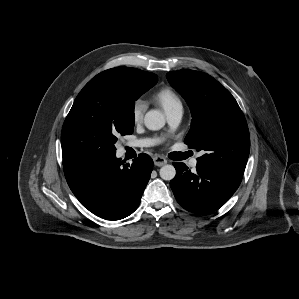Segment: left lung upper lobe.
I'll return each mask as SVG.
<instances>
[{"instance_id":"5c2ea615","label":"left lung upper lobe","mask_w":299,"mask_h":299,"mask_svg":"<svg viewBox=\"0 0 299 299\" xmlns=\"http://www.w3.org/2000/svg\"><path fill=\"white\" fill-rule=\"evenodd\" d=\"M192 114L184 142L203 151L197 163L242 177L250 151L246 119L232 94L210 75L179 70L167 74Z\"/></svg>"}]
</instances>
